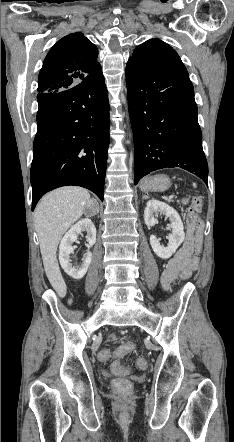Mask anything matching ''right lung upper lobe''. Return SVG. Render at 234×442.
I'll return each mask as SVG.
<instances>
[{
  "label": "right lung upper lobe",
  "mask_w": 234,
  "mask_h": 442,
  "mask_svg": "<svg viewBox=\"0 0 234 442\" xmlns=\"http://www.w3.org/2000/svg\"><path fill=\"white\" fill-rule=\"evenodd\" d=\"M98 50L76 32L59 40L47 54L38 77V92H58L101 70Z\"/></svg>",
  "instance_id": "cb5924a9"
}]
</instances>
